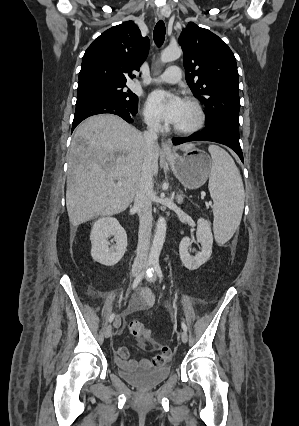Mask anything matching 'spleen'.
Masks as SVG:
<instances>
[{
	"instance_id": "spleen-1",
	"label": "spleen",
	"mask_w": 299,
	"mask_h": 426,
	"mask_svg": "<svg viewBox=\"0 0 299 426\" xmlns=\"http://www.w3.org/2000/svg\"><path fill=\"white\" fill-rule=\"evenodd\" d=\"M212 169L208 188L213 199L214 234L218 243L227 242L235 233L244 209L245 193L240 172L232 157L211 145Z\"/></svg>"
}]
</instances>
